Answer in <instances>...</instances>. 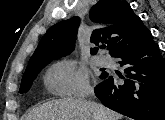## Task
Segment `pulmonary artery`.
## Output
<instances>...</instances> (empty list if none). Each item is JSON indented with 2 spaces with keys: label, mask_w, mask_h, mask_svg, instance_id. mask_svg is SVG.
I'll use <instances>...</instances> for the list:
<instances>
[{
  "label": "pulmonary artery",
  "mask_w": 165,
  "mask_h": 120,
  "mask_svg": "<svg viewBox=\"0 0 165 120\" xmlns=\"http://www.w3.org/2000/svg\"><path fill=\"white\" fill-rule=\"evenodd\" d=\"M97 62L99 65H102V66H109L111 65V59L105 55H100L97 57Z\"/></svg>",
  "instance_id": "pulmonary-artery-1"
}]
</instances>
